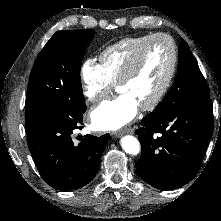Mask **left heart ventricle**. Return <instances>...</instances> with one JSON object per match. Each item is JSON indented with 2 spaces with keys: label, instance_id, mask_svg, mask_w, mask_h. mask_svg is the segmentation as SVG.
<instances>
[{
  "label": "left heart ventricle",
  "instance_id": "obj_1",
  "mask_svg": "<svg viewBox=\"0 0 221 221\" xmlns=\"http://www.w3.org/2000/svg\"><path fill=\"white\" fill-rule=\"evenodd\" d=\"M172 59L171 46L166 39H157L145 49L135 75L118 88L131 97L138 106L153 98L165 81Z\"/></svg>",
  "mask_w": 221,
  "mask_h": 221
}]
</instances>
